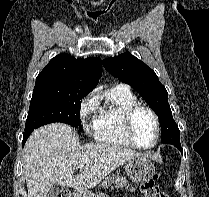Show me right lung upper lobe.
Masks as SVG:
<instances>
[{
	"instance_id": "right-lung-upper-lobe-1",
	"label": "right lung upper lobe",
	"mask_w": 209,
	"mask_h": 197,
	"mask_svg": "<svg viewBox=\"0 0 209 197\" xmlns=\"http://www.w3.org/2000/svg\"><path fill=\"white\" fill-rule=\"evenodd\" d=\"M101 75L102 62L99 58L75 59L62 53L50 60L36 82L76 84L93 90Z\"/></svg>"
}]
</instances>
